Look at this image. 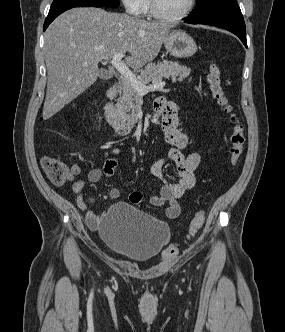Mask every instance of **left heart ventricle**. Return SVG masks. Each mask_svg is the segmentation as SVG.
<instances>
[{
	"instance_id": "1",
	"label": "left heart ventricle",
	"mask_w": 285,
	"mask_h": 332,
	"mask_svg": "<svg viewBox=\"0 0 285 332\" xmlns=\"http://www.w3.org/2000/svg\"><path fill=\"white\" fill-rule=\"evenodd\" d=\"M157 2L162 13L176 16L188 7L190 0H157Z\"/></svg>"
}]
</instances>
